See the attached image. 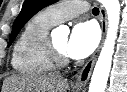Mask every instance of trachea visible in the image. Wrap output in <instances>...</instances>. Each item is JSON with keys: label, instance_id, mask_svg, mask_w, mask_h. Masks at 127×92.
<instances>
[{"label": "trachea", "instance_id": "obj_1", "mask_svg": "<svg viewBox=\"0 0 127 92\" xmlns=\"http://www.w3.org/2000/svg\"><path fill=\"white\" fill-rule=\"evenodd\" d=\"M92 13L95 14V15H98L99 14V9L97 7H94L92 9Z\"/></svg>", "mask_w": 127, "mask_h": 92}]
</instances>
